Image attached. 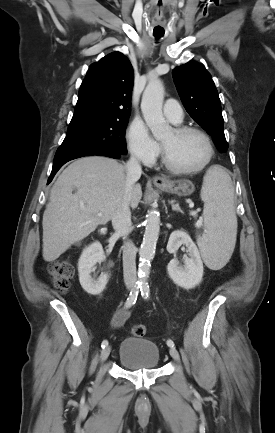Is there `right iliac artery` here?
I'll use <instances>...</instances> for the list:
<instances>
[{
    "mask_svg": "<svg viewBox=\"0 0 275 433\" xmlns=\"http://www.w3.org/2000/svg\"><path fill=\"white\" fill-rule=\"evenodd\" d=\"M140 286H137L135 289H133L130 294L129 297L127 298V301L125 303V307L129 308L132 305L135 304L136 300H137V296H138V289ZM108 345V341L107 340H103L101 343V347L104 349L106 346Z\"/></svg>",
    "mask_w": 275,
    "mask_h": 433,
    "instance_id": "1",
    "label": "right iliac artery"
}]
</instances>
